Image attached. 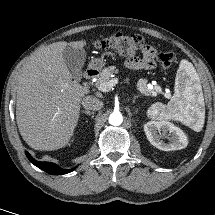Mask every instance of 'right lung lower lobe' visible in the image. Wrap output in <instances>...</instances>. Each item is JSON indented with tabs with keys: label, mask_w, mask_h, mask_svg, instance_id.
Here are the masks:
<instances>
[{
	"label": "right lung lower lobe",
	"mask_w": 215,
	"mask_h": 215,
	"mask_svg": "<svg viewBox=\"0 0 215 215\" xmlns=\"http://www.w3.org/2000/svg\"><path fill=\"white\" fill-rule=\"evenodd\" d=\"M25 154L31 163H33L35 166H37L38 168L42 169L43 171H45L49 174L63 175L65 173L70 172L69 169L60 168L58 165H56L54 163L37 161L34 158H32V156L28 152H25Z\"/></svg>",
	"instance_id": "1"
}]
</instances>
